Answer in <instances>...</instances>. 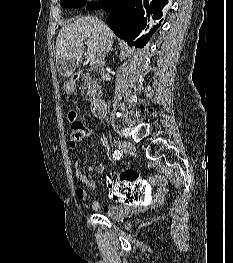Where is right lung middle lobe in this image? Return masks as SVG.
I'll return each instance as SVG.
<instances>
[{
  "instance_id": "obj_1",
  "label": "right lung middle lobe",
  "mask_w": 233,
  "mask_h": 263,
  "mask_svg": "<svg viewBox=\"0 0 233 263\" xmlns=\"http://www.w3.org/2000/svg\"><path fill=\"white\" fill-rule=\"evenodd\" d=\"M102 0L98 1V2H90L87 5V8L90 10L95 9L101 2ZM61 3L64 7L66 8H78V7H82L83 5L86 4V0H61Z\"/></svg>"
}]
</instances>
